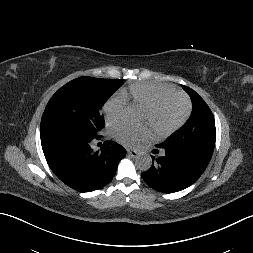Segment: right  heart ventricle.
<instances>
[{
	"label": "right heart ventricle",
	"instance_id": "right-heart-ventricle-1",
	"mask_svg": "<svg viewBox=\"0 0 253 253\" xmlns=\"http://www.w3.org/2000/svg\"><path fill=\"white\" fill-rule=\"evenodd\" d=\"M174 89L168 85L144 83H133L123 89L120 94L134 104L143 108L149 106L159 95L165 92H171Z\"/></svg>",
	"mask_w": 253,
	"mask_h": 253
}]
</instances>
